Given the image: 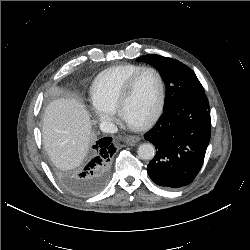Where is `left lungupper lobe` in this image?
<instances>
[{
  "label": "left lung upper lobe",
  "mask_w": 250,
  "mask_h": 250,
  "mask_svg": "<svg viewBox=\"0 0 250 250\" xmlns=\"http://www.w3.org/2000/svg\"><path fill=\"white\" fill-rule=\"evenodd\" d=\"M153 65L167 86L164 110L170 106L195 95L204 94V89L195 73L183 63L156 54L137 58Z\"/></svg>",
  "instance_id": "5c2ea615"
}]
</instances>
